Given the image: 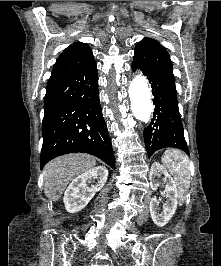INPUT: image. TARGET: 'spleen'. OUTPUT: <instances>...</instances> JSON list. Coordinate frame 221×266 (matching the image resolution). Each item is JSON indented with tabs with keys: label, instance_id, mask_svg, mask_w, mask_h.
<instances>
[{
	"label": "spleen",
	"instance_id": "3e777b00",
	"mask_svg": "<svg viewBox=\"0 0 221 266\" xmlns=\"http://www.w3.org/2000/svg\"><path fill=\"white\" fill-rule=\"evenodd\" d=\"M163 165L174 176L177 183L181 199H185V194L190 187V161L188 156L177 149H167L162 157Z\"/></svg>",
	"mask_w": 221,
	"mask_h": 266
}]
</instances>
